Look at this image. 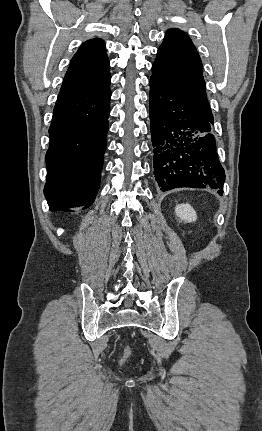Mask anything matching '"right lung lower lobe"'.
<instances>
[{
	"label": "right lung lower lobe",
	"mask_w": 262,
	"mask_h": 431,
	"mask_svg": "<svg viewBox=\"0 0 262 431\" xmlns=\"http://www.w3.org/2000/svg\"><path fill=\"white\" fill-rule=\"evenodd\" d=\"M111 91L59 93L49 128L44 188L51 211L91 206L100 185Z\"/></svg>",
	"instance_id": "98d812e1"
}]
</instances>
